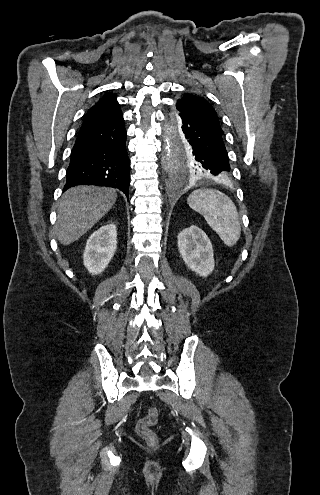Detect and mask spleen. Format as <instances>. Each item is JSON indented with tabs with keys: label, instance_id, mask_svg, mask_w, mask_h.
I'll use <instances>...</instances> for the list:
<instances>
[{
	"label": "spleen",
	"instance_id": "spleen-1",
	"mask_svg": "<svg viewBox=\"0 0 320 495\" xmlns=\"http://www.w3.org/2000/svg\"><path fill=\"white\" fill-rule=\"evenodd\" d=\"M187 202L194 211L203 215L226 246L231 247L238 242L241 235L239 215L227 195L218 190L201 188L193 191Z\"/></svg>",
	"mask_w": 320,
	"mask_h": 495
}]
</instances>
